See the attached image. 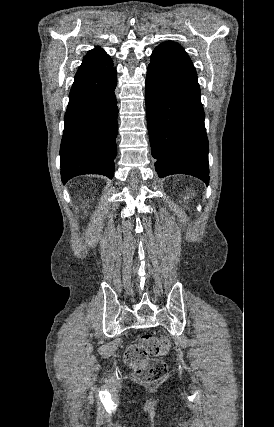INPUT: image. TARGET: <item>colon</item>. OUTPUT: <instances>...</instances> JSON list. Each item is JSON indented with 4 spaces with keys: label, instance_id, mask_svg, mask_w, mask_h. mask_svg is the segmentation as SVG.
<instances>
[{
    "label": "colon",
    "instance_id": "1",
    "mask_svg": "<svg viewBox=\"0 0 274 427\" xmlns=\"http://www.w3.org/2000/svg\"><path fill=\"white\" fill-rule=\"evenodd\" d=\"M168 351L169 343L166 338L143 334L136 343L126 348L124 360L133 369L136 381L155 383L164 380L169 374L168 365L157 359Z\"/></svg>",
    "mask_w": 274,
    "mask_h": 427
}]
</instances>
